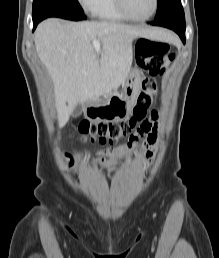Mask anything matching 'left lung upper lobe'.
<instances>
[{"label":"left lung upper lobe","instance_id":"1","mask_svg":"<svg viewBox=\"0 0 219 258\" xmlns=\"http://www.w3.org/2000/svg\"><path fill=\"white\" fill-rule=\"evenodd\" d=\"M157 3L155 20L168 17H185L180 0H157Z\"/></svg>","mask_w":219,"mask_h":258}]
</instances>
